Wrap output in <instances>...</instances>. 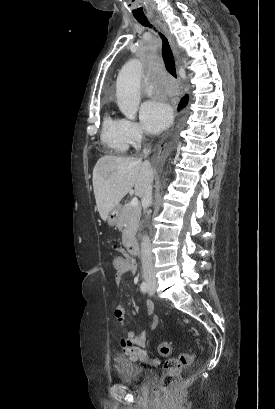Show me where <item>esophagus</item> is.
Segmentation results:
<instances>
[{
  "label": "esophagus",
  "instance_id": "obj_1",
  "mask_svg": "<svg viewBox=\"0 0 275 409\" xmlns=\"http://www.w3.org/2000/svg\"><path fill=\"white\" fill-rule=\"evenodd\" d=\"M159 26H160V28L163 30V32L165 33V35L167 36V38H168V40H169V43H170V45H171V49H172L173 54L175 55V57H178L177 47H176V45H175V42H174V40H173V38H172L170 32L168 31L166 25H164L163 23H160Z\"/></svg>",
  "mask_w": 275,
  "mask_h": 409
}]
</instances>
